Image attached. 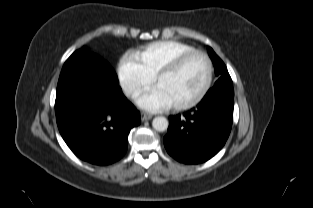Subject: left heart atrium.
Wrapping results in <instances>:
<instances>
[{"label": "left heart atrium", "instance_id": "obj_1", "mask_svg": "<svg viewBox=\"0 0 313 208\" xmlns=\"http://www.w3.org/2000/svg\"><path fill=\"white\" fill-rule=\"evenodd\" d=\"M135 101L139 107L151 112L162 111L172 106L171 100L157 85L140 92Z\"/></svg>", "mask_w": 313, "mask_h": 208}]
</instances>
